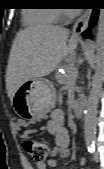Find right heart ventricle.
Listing matches in <instances>:
<instances>
[{"mask_svg":"<svg viewBox=\"0 0 104 169\" xmlns=\"http://www.w3.org/2000/svg\"><path fill=\"white\" fill-rule=\"evenodd\" d=\"M61 11L56 8L29 9L24 12L25 20L30 24L50 25L60 20Z\"/></svg>","mask_w":104,"mask_h":169,"instance_id":"e07e8e85","label":"right heart ventricle"}]
</instances>
